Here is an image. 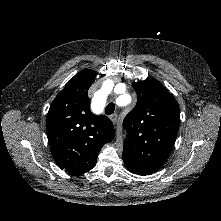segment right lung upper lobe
Wrapping results in <instances>:
<instances>
[{
	"mask_svg": "<svg viewBox=\"0 0 221 221\" xmlns=\"http://www.w3.org/2000/svg\"><path fill=\"white\" fill-rule=\"evenodd\" d=\"M94 71L77 73L51 103L46 130L50 149L57 165L79 175L91 170L104 144L114 138L111 120L90 111L88 89Z\"/></svg>",
	"mask_w": 221,
	"mask_h": 221,
	"instance_id": "obj_1",
	"label": "right lung upper lobe"
}]
</instances>
